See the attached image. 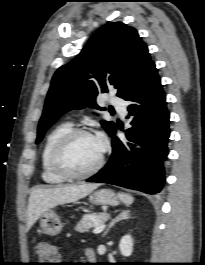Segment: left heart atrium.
<instances>
[{"label":"left heart atrium","instance_id":"1","mask_svg":"<svg viewBox=\"0 0 205 265\" xmlns=\"http://www.w3.org/2000/svg\"><path fill=\"white\" fill-rule=\"evenodd\" d=\"M96 141H97V144L101 150V152L104 150V147H105V141H104V138L102 136H98L95 138Z\"/></svg>","mask_w":205,"mask_h":265}]
</instances>
